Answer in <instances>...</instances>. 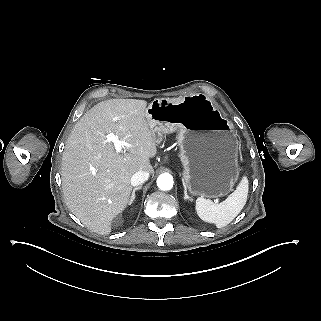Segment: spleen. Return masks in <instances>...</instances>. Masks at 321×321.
<instances>
[{
  "label": "spleen",
  "mask_w": 321,
  "mask_h": 321,
  "mask_svg": "<svg viewBox=\"0 0 321 321\" xmlns=\"http://www.w3.org/2000/svg\"><path fill=\"white\" fill-rule=\"evenodd\" d=\"M248 190V179L244 176L236 190L219 204H215L212 200L203 197L197 198V214L203 221L214 223L217 228H223L230 224L245 206Z\"/></svg>",
  "instance_id": "3e777b00"
}]
</instances>
